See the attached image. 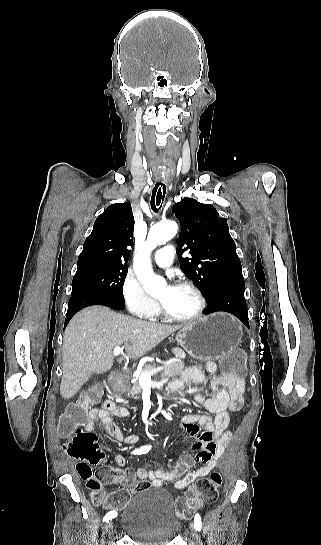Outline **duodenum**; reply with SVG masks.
<instances>
[{
  "label": "duodenum",
  "instance_id": "1",
  "mask_svg": "<svg viewBox=\"0 0 321 545\" xmlns=\"http://www.w3.org/2000/svg\"><path fill=\"white\" fill-rule=\"evenodd\" d=\"M108 381H109V385L111 386L112 389L119 390L123 386V384L125 382V377L121 372L116 371V372H113L109 376ZM174 390H176L175 385L170 384L169 387H168V393H171Z\"/></svg>",
  "mask_w": 321,
  "mask_h": 545
}]
</instances>
